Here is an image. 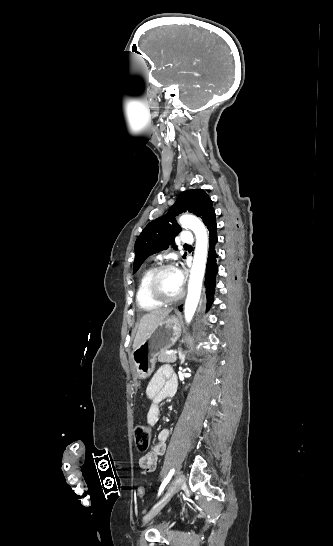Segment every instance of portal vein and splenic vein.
Returning a JSON list of instances; mask_svg holds the SVG:
<instances>
[{"label":"portal vein and splenic vein","mask_w":333,"mask_h":546,"mask_svg":"<svg viewBox=\"0 0 333 546\" xmlns=\"http://www.w3.org/2000/svg\"><path fill=\"white\" fill-rule=\"evenodd\" d=\"M171 353H174V354H176V353H177V351H172Z\"/></svg>","instance_id":"18ae733b"}]
</instances>
